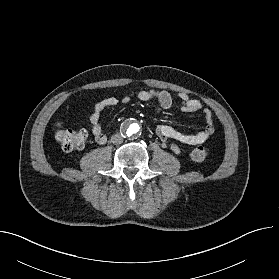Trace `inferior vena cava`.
<instances>
[{
  "instance_id": "602c4592",
  "label": "inferior vena cava",
  "mask_w": 279,
  "mask_h": 279,
  "mask_svg": "<svg viewBox=\"0 0 279 279\" xmlns=\"http://www.w3.org/2000/svg\"><path fill=\"white\" fill-rule=\"evenodd\" d=\"M123 140H124L123 136L119 133H117L111 137V142L113 144H121L123 142Z\"/></svg>"
}]
</instances>
